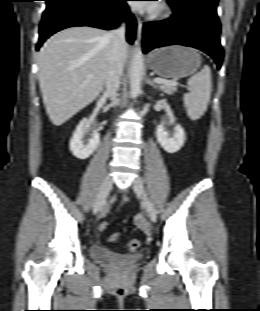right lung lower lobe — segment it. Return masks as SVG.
Segmentation results:
<instances>
[{"instance_id": "obj_1", "label": "right lung lower lobe", "mask_w": 260, "mask_h": 311, "mask_svg": "<svg viewBox=\"0 0 260 311\" xmlns=\"http://www.w3.org/2000/svg\"><path fill=\"white\" fill-rule=\"evenodd\" d=\"M39 29L38 51L43 42L52 34L72 26H91L114 29L120 22H127V40L133 43L136 22L130 13L127 0H45Z\"/></svg>"}]
</instances>
